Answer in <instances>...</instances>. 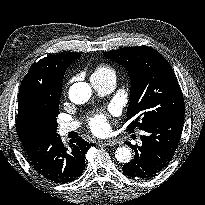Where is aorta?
<instances>
[{
    "label": "aorta",
    "instance_id": "obj_1",
    "mask_svg": "<svg viewBox=\"0 0 205 205\" xmlns=\"http://www.w3.org/2000/svg\"><path fill=\"white\" fill-rule=\"evenodd\" d=\"M92 95L91 86L86 82L74 83L69 89V99L75 104L86 103ZM115 158L120 163H128L132 158L128 147H119L115 151Z\"/></svg>",
    "mask_w": 205,
    "mask_h": 205
}]
</instances>
